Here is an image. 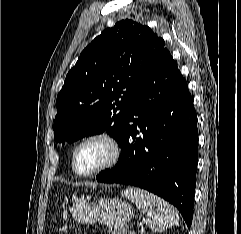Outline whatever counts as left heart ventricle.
Masks as SVG:
<instances>
[{
	"mask_svg": "<svg viewBox=\"0 0 241 234\" xmlns=\"http://www.w3.org/2000/svg\"><path fill=\"white\" fill-rule=\"evenodd\" d=\"M110 150L102 141H91L82 145L76 155V168L80 172H89L103 164Z\"/></svg>",
	"mask_w": 241,
	"mask_h": 234,
	"instance_id": "1",
	"label": "left heart ventricle"
}]
</instances>
